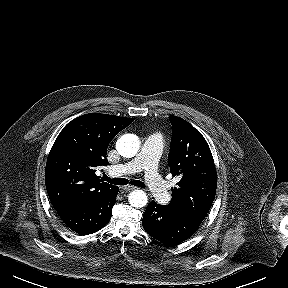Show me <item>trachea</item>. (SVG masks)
Masks as SVG:
<instances>
[{
    "label": "trachea",
    "instance_id": "trachea-1",
    "mask_svg": "<svg viewBox=\"0 0 288 288\" xmlns=\"http://www.w3.org/2000/svg\"><path fill=\"white\" fill-rule=\"evenodd\" d=\"M104 180L107 181L110 184H114V185H126V184H131L134 186H138L141 188H145V185L143 182L139 181V180H133V181H128L125 178H109L108 176L104 175L103 176Z\"/></svg>",
    "mask_w": 288,
    "mask_h": 288
}]
</instances>
